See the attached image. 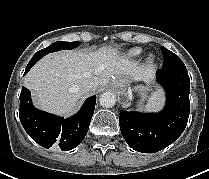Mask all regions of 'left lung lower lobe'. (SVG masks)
Here are the masks:
<instances>
[{
	"instance_id": "0a47b994",
	"label": "left lung lower lobe",
	"mask_w": 209,
	"mask_h": 179,
	"mask_svg": "<svg viewBox=\"0 0 209 179\" xmlns=\"http://www.w3.org/2000/svg\"><path fill=\"white\" fill-rule=\"evenodd\" d=\"M157 81L167 97L161 112H120L121 133L127 144L138 152L154 153L169 146L179 138L188 122L190 79L185 65L159 69Z\"/></svg>"
}]
</instances>
